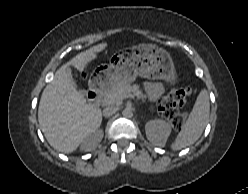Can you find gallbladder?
<instances>
[{
	"instance_id": "gallbladder-1",
	"label": "gallbladder",
	"mask_w": 248,
	"mask_h": 194,
	"mask_svg": "<svg viewBox=\"0 0 248 194\" xmlns=\"http://www.w3.org/2000/svg\"><path fill=\"white\" fill-rule=\"evenodd\" d=\"M67 73L69 75V79L71 81V83L73 84L74 87H77L76 82L74 81L73 77H72V73H71V68H67ZM80 93H83V90H79Z\"/></svg>"
}]
</instances>
